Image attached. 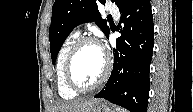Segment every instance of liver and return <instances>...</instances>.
<instances>
[{"label": "liver", "instance_id": "6515ba94", "mask_svg": "<svg viewBox=\"0 0 193 112\" xmlns=\"http://www.w3.org/2000/svg\"><path fill=\"white\" fill-rule=\"evenodd\" d=\"M97 99L73 100L62 102L55 107V112H87Z\"/></svg>", "mask_w": 193, "mask_h": 112}]
</instances>
